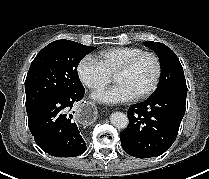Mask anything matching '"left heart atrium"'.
<instances>
[{"instance_id": "39dd6f15", "label": "left heart atrium", "mask_w": 209, "mask_h": 179, "mask_svg": "<svg viewBox=\"0 0 209 179\" xmlns=\"http://www.w3.org/2000/svg\"><path fill=\"white\" fill-rule=\"evenodd\" d=\"M93 98L103 103L116 104L131 100L134 98V94L123 84H117L110 89L94 94Z\"/></svg>"}]
</instances>
